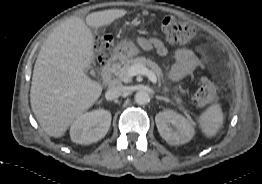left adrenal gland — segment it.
<instances>
[{
	"mask_svg": "<svg viewBox=\"0 0 262 184\" xmlns=\"http://www.w3.org/2000/svg\"><path fill=\"white\" fill-rule=\"evenodd\" d=\"M156 99L163 100L165 102H169V99H167L166 97H163V96H156Z\"/></svg>",
	"mask_w": 262,
	"mask_h": 184,
	"instance_id": "left-adrenal-gland-1",
	"label": "left adrenal gland"
}]
</instances>
